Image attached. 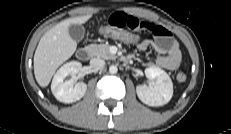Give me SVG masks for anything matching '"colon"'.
I'll list each match as a JSON object with an SVG mask.
<instances>
[{"instance_id":"colon-1","label":"colon","mask_w":231,"mask_h":134,"mask_svg":"<svg viewBox=\"0 0 231 134\" xmlns=\"http://www.w3.org/2000/svg\"><path fill=\"white\" fill-rule=\"evenodd\" d=\"M99 33L105 37L132 45H139L143 42V39L136 32H132L126 29L115 28L111 26H103L99 28ZM186 74L180 72L177 74L176 79L178 82L183 83L186 81Z\"/></svg>"}]
</instances>
